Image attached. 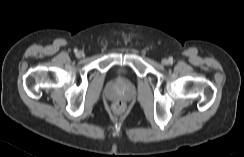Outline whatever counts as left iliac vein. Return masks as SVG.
I'll return each mask as SVG.
<instances>
[{
	"mask_svg": "<svg viewBox=\"0 0 244 157\" xmlns=\"http://www.w3.org/2000/svg\"><path fill=\"white\" fill-rule=\"evenodd\" d=\"M168 63H169V61H168L167 59H163V60H162V64H163V65H167Z\"/></svg>",
	"mask_w": 244,
	"mask_h": 157,
	"instance_id": "1",
	"label": "left iliac vein"
}]
</instances>
